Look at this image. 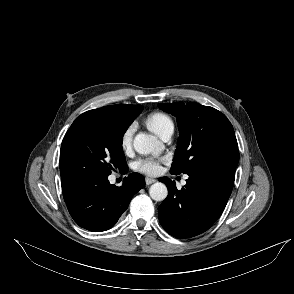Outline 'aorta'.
<instances>
[{
    "mask_svg": "<svg viewBox=\"0 0 294 294\" xmlns=\"http://www.w3.org/2000/svg\"><path fill=\"white\" fill-rule=\"evenodd\" d=\"M133 145L135 150L140 154L151 153L158 145V140L155 136L139 133L135 136ZM150 197L155 201H163L168 195V190L165 184L156 182L149 189Z\"/></svg>",
    "mask_w": 294,
    "mask_h": 294,
    "instance_id": "762f6f07",
    "label": "aorta"
}]
</instances>
